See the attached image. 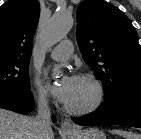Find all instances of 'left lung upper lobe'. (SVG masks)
Returning <instances> with one entry per match:
<instances>
[{
    "label": "left lung upper lobe",
    "instance_id": "5c2ea615",
    "mask_svg": "<svg viewBox=\"0 0 141 139\" xmlns=\"http://www.w3.org/2000/svg\"><path fill=\"white\" fill-rule=\"evenodd\" d=\"M76 37L83 59L103 83L104 101L141 89L138 35L117 7L102 0L81 2Z\"/></svg>",
    "mask_w": 141,
    "mask_h": 139
}]
</instances>
